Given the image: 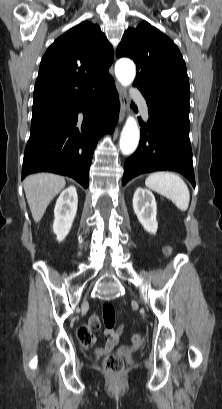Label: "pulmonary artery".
Returning <instances> with one entry per match:
<instances>
[{"instance_id":"1","label":"pulmonary artery","mask_w":222,"mask_h":409,"mask_svg":"<svg viewBox=\"0 0 222 409\" xmlns=\"http://www.w3.org/2000/svg\"><path fill=\"white\" fill-rule=\"evenodd\" d=\"M132 94L134 95V97L136 98V101L143 113V116L145 118H148V107H147V103L146 100L144 99V97L137 91V90H132Z\"/></svg>"}]
</instances>
